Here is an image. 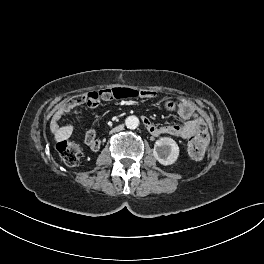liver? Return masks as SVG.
I'll return each mask as SVG.
<instances>
[{
	"label": "liver",
	"mask_w": 264,
	"mask_h": 264,
	"mask_svg": "<svg viewBox=\"0 0 264 264\" xmlns=\"http://www.w3.org/2000/svg\"><path fill=\"white\" fill-rule=\"evenodd\" d=\"M72 133V127L71 126H65L61 128H57L54 132L55 140L57 142L66 140L70 137Z\"/></svg>",
	"instance_id": "6515ba94"
}]
</instances>
